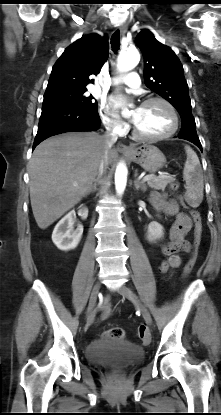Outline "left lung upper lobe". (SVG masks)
<instances>
[{
    "label": "left lung upper lobe",
    "mask_w": 221,
    "mask_h": 415,
    "mask_svg": "<svg viewBox=\"0 0 221 415\" xmlns=\"http://www.w3.org/2000/svg\"><path fill=\"white\" fill-rule=\"evenodd\" d=\"M136 44L144 57L145 85L176 108L182 127H196L184 70L173 50L157 41L149 30L137 35Z\"/></svg>",
    "instance_id": "1"
}]
</instances>
